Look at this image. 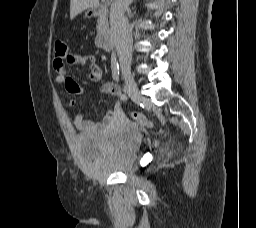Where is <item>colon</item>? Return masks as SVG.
I'll return each instance as SVG.
<instances>
[{"label": "colon", "mask_w": 256, "mask_h": 228, "mask_svg": "<svg viewBox=\"0 0 256 228\" xmlns=\"http://www.w3.org/2000/svg\"><path fill=\"white\" fill-rule=\"evenodd\" d=\"M70 50L67 46V44L62 41V40H57L55 42V46H54V60H56V62L58 64H64L65 62H67V60L69 59L70 56ZM133 118L143 127L146 128H152L153 124L151 121H149L145 116H143L142 114L138 113V112H134L132 114Z\"/></svg>", "instance_id": "obj_1"}]
</instances>
